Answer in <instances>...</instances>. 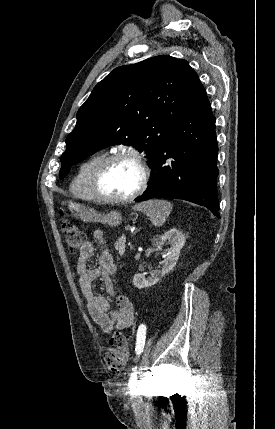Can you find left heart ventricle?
<instances>
[{
  "label": "left heart ventricle",
  "mask_w": 275,
  "mask_h": 429,
  "mask_svg": "<svg viewBox=\"0 0 275 429\" xmlns=\"http://www.w3.org/2000/svg\"><path fill=\"white\" fill-rule=\"evenodd\" d=\"M141 172L131 160H119L113 163L102 179L103 192L111 197H126L138 187Z\"/></svg>",
  "instance_id": "left-heart-ventricle-1"
}]
</instances>
